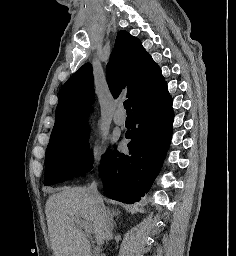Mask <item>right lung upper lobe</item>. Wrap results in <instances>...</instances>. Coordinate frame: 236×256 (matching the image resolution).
Returning <instances> with one entry per match:
<instances>
[{
    "instance_id": "cb5924a9",
    "label": "right lung upper lobe",
    "mask_w": 236,
    "mask_h": 256,
    "mask_svg": "<svg viewBox=\"0 0 236 256\" xmlns=\"http://www.w3.org/2000/svg\"><path fill=\"white\" fill-rule=\"evenodd\" d=\"M107 82L115 98L127 87V97L133 107L165 81L161 69L140 40L126 31H120L107 65ZM93 99L92 67L87 63L61 89L50 140L67 135L86 124Z\"/></svg>"
}]
</instances>
